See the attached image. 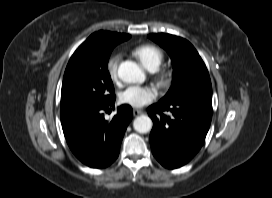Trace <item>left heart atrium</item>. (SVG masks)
<instances>
[{"instance_id": "obj_1", "label": "left heart atrium", "mask_w": 272, "mask_h": 198, "mask_svg": "<svg viewBox=\"0 0 272 198\" xmlns=\"http://www.w3.org/2000/svg\"><path fill=\"white\" fill-rule=\"evenodd\" d=\"M157 93L150 86H128L119 94L121 103L140 108L155 100Z\"/></svg>"}]
</instances>
